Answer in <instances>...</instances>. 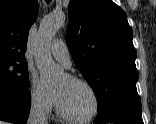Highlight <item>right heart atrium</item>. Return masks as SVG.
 Masks as SVG:
<instances>
[{
    "label": "right heart atrium",
    "instance_id": "1",
    "mask_svg": "<svg viewBox=\"0 0 156 124\" xmlns=\"http://www.w3.org/2000/svg\"><path fill=\"white\" fill-rule=\"evenodd\" d=\"M28 92L30 104L35 110L45 115L52 112L55 103L54 94L34 73L29 75Z\"/></svg>",
    "mask_w": 156,
    "mask_h": 124
}]
</instances>
